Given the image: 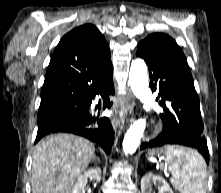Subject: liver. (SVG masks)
Wrapping results in <instances>:
<instances>
[{
  "label": "liver",
  "instance_id": "liver-1",
  "mask_svg": "<svg viewBox=\"0 0 221 193\" xmlns=\"http://www.w3.org/2000/svg\"><path fill=\"white\" fill-rule=\"evenodd\" d=\"M94 154L90 141L72 134L42 139L33 153L32 193H71Z\"/></svg>",
  "mask_w": 221,
  "mask_h": 193
}]
</instances>
